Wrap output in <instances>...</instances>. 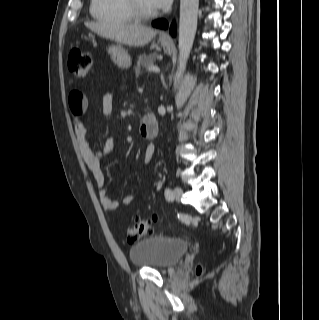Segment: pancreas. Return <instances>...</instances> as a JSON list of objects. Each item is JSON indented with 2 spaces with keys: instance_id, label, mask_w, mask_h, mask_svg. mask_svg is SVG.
<instances>
[{
  "instance_id": "obj_1",
  "label": "pancreas",
  "mask_w": 319,
  "mask_h": 320,
  "mask_svg": "<svg viewBox=\"0 0 319 320\" xmlns=\"http://www.w3.org/2000/svg\"><path fill=\"white\" fill-rule=\"evenodd\" d=\"M157 59V54L152 53L149 55L143 54L139 56L137 61V66L135 67V73L139 74L143 68H149L153 66Z\"/></svg>"
}]
</instances>
